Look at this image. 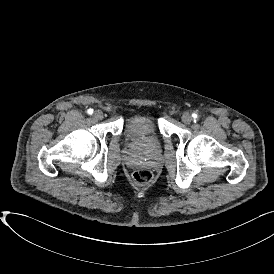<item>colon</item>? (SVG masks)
Listing matches in <instances>:
<instances>
[{
  "instance_id": "colon-1",
  "label": "colon",
  "mask_w": 274,
  "mask_h": 274,
  "mask_svg": "<svg viewBox=\"0 0 274 274\" xmlns=\"http://www.w3.org/2000/svg\"><path fill=\"white\" fill-rule=\"evenodd\" d=\"M133 182L141 187L147 186L153 181V173L148 168H140L132 174Z\"/></svg>"
}]
</instances>
